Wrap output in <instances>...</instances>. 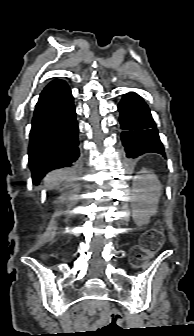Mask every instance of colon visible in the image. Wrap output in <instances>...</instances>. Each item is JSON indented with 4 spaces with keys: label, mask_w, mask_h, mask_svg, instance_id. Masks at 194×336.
Listing matches in <instances>:
<instances>
[{
    "label": "colon",
    "mask_w": 194,
    "mask_h": 336,
    "mask_svg": "<svg viewBox=\"0 0 194 336\" xmlns=\"http://www.w3.org/2000/svg\"><path fill=\"white\" fill-rule=\"evenodd\" d=\"M163 244V237L159 231H150L145 237L143 244L131 251V261L133 263L140 262L158 252ZM123 321L122 313L113 309L109 314V322L101 328L102 332L116 330L121 327Z\"/></svg>",
    "instance_id": "obj_1"
}]
</instances>
